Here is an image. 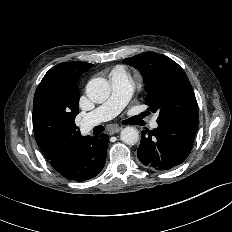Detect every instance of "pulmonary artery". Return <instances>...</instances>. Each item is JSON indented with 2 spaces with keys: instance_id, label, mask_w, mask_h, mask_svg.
Segmentation results:
<instances>
[{
  "instance_id": "e3ab8cb5",
  "label": "pulmonary artery",
  "mask_w": 232,
  "mask_h": 232,
  "mask_svg": "<svg viewBox=\"0 0 232 232\" xmlns=\"http://www.w3.org/2000/svg\"><path fill=\"white\" fill-rule=\"evenodd\" d=\"M111 84L110 97L100 106L89 112L83 119V130H90L96 124L117 116L131 98L132 84L127 71L123 67L115 68L109 76ZM151 128H157L156 118L150 122Z\"/></svg>"
}]
</instances>
